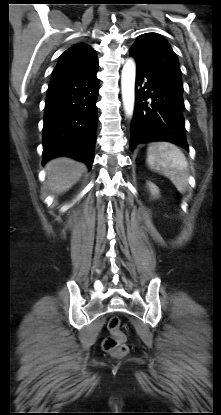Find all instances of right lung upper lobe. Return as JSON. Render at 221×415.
I'll return each mask as SVG.
<instances>
[{"label":"right lung upper lobe","instance_id":"cb5924a9","mask_svg":"<svg viewBox=\"0 0 221 415\" xmlns=\"http://www.w3.org/2000/svg\"><path fill=\"white\" fill-rule=\"evenodd\" d=\"M97 67L98 59L95 50L86 44H75L60 56L52 76L66 75Z\"/></svg>","mask_w":221,"mask_h":415}]
</instances>
